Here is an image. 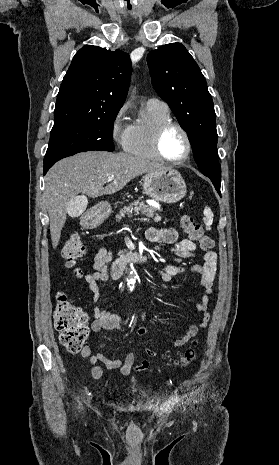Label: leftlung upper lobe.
I'll list each match as a JSON object with an SVG mask.
<instances>
[{
  "mask_svg": "<svg viewBox=\"0 0 279 465\" xmlns=\"http://www.w3.org/2000/svg\"><path fill=\"white\" fill-rule=\"evenodd\" d=\"M148 66L154 89L188 134L199 169L220 191L214 105L197 63L181 43H171L151 51Z\"/></svg>",
  "mask_w": 279,
  "mask_h": 465,
  "instance_id": "5c2ea615",
  "label": "left lung upper lobe"
}]
</instances>
